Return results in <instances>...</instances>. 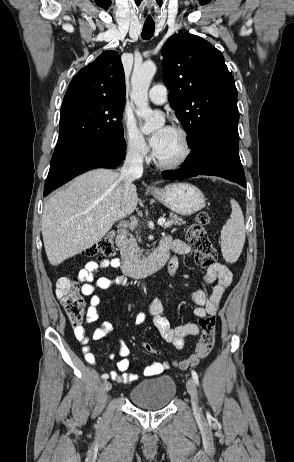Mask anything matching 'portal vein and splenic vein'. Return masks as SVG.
<instances>
[{
	"label": "portal vein and splenic vein",
	"mask_w": 294,
	"mask_h": 462,
	"mask_svg": "<svg viewBox=\"0 0 294 462\" xmlns=\"http://www.w3.org/2000/svg\"><path fill=\"white\" fill-rule=\"evenodd\" d=\"M169 223L166 222L165 218H160L158 220V225H168Z\"/></svg>",
	"instance_id": "18ae733b"
}]
</instances>
